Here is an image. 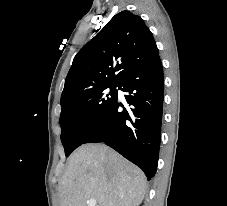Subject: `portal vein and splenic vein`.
<instances>
[{"label": "portal vein and splenic vein", "instance_id": "portal-vein-and-splenic-vein-1", "mask_svg": "<svg viewBox=\"0 0 227 206\" xmlns=\"http://www.w3.org/2000/svg\"><path fill=\"white\" fill-rule=\"evenodd\" d=\"M87 204H88V206H97L96 205V200H94V199L88 200Z\"/></svg>", "mask_w": 227, "mask_h": 206}]
</instances>
